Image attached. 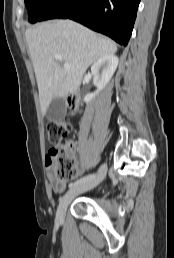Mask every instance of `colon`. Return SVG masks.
Returning a JSON list of instances; mask_svg holds the SVG:
<instances>
[{"instance_id":"colon-1","label":"colon","mask_w":174,"mask_h":258,"mask_svg":"<svg viewBox=\"0 0 174 258\" xmlns=\"http://www.w3.org/2000/svg\"><path fill=\"white\" fill-rule=\"evenodd\" d=\"M71 130V124L63 120L50 122L47 126V138L52 145L47 160L55 165V175L62 180L71 179L77 172L76 162L71 154L72 143L66 140Z\"/></svg>"}]
</instances>
